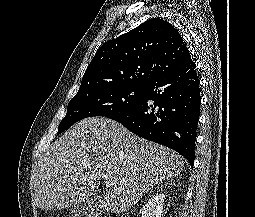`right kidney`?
I'll return each instance as SVG.
<instances>
[{"label":"right kidney","instance_id":"right-kidney-1","mask_svg":"<svg viewBox=\"0 0 255 217\" xmlns=\"http://www.w3.org/2000/svg\"><path fill=\"white\" fill-rule=\"evenodd\" d=\"M165 195L157 193L139 210L142 217H163Z\"/></svg>","mask_w":255,"mask_h":217}]
</instances>
